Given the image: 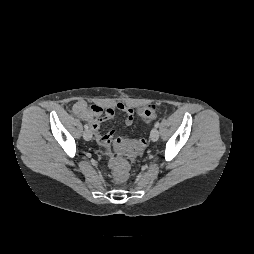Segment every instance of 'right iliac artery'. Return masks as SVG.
Instances as JSON below:
<instances>
[{"mask_svg":"<svg viewBox=\"0 0 254 254\" xmlns=\"http://www.w3.org/2000/svg\"><path fill=\"white\" fill-rule=\"evenodd\" d=\"M84 128H85V129H88V128H89V126H88L87 124H85V125H84Z\"/></svg>","mask_w":254,"mask_h":254,"instance_id":"right-iliac-artery-1","label":"right iliac artery"}]
</instances>
